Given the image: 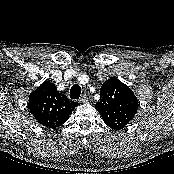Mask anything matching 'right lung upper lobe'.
<instances>
[{
  "instance_id": "obj_1",
  "label": "right lung upper lobe",
  "mask_w": 174,
  "mask_h": 174,
  "mask_svg": "<svg viewBox=\"0 0 174 174\" xmlns=\"http://www.w3.org/2000/svg\"><path fill=\"white\" fill-rule=\"evenodd\" d=\"M79 104L69 101L59 93L54 84L45 81L34 90L28 100V108L34 118L48 128H57L69 119V115Z\"/></svg>"
}]
</instances>
